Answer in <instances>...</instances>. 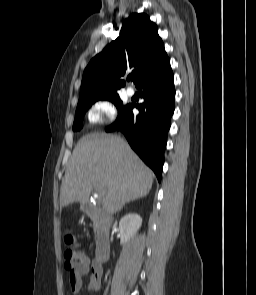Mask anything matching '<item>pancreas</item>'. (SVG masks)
Masks as SVG:
<instances>
[{"label": "pancreas", "instance_id": "obj_1", "mask_svg": "<svg viewBox=\"0 0 256 295\" xmlns=\"http://www.w3.org/2000/svg\"><path fill=\"white\" fill-rule=\"evenodd\" d=\"M94 229L97 230V223H94Z\"/></svg>", "mask_w": 256, "mask_h": 295}]
</instances>
